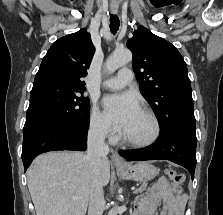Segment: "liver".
I'll list each match as a JSON object with an SVG mask.
<instances>
[{
	"label": "liver",
	"mask_w": 223,
	"mask_h": 215,
	"mask_svg": "<svg viewBox=\"0 0 223 215\" xmlns=\"http://www.w3.org/2000/svg\"><path fill=\"white\" fill-rule=\"evenodd\" d=\"M100 179L102 185L110 179L108 159ZM27 183L37 215H85L92 185L89 159L81 151H48L32 161Z\"/></svg>",
	"instance_id": "liver-1"
}]
</instances>
